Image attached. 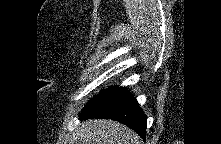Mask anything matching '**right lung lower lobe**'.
I'll return each instance as SVG.
<instances>
[{
  "mask_svg": "<svg viewBox=\"0 0 221 144\" xmlns=\"http://www.w3.org/2000/svg\"><path fill=\"white\" fill-rule=\"evenodd\" d=\"M79 118H106L116 120L132 128L145 140L147 117L135 97L125 87H116L96 103L83 110Z\"/></svg>",
  "mask_w": 221,
  "mask_h": 144,
  "instance_id": "obj_1",
  "label": "right lung lower lobe"
}]
</instances>
